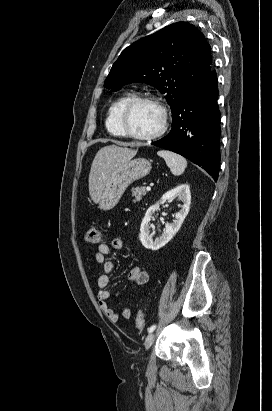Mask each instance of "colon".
<instances>
[{
    "instance_id": "colon-1",
    "label": "colon",
    "mask_w": 272,
    "mask_h": 411,
    "mask_svg": "<svg viewBox=\"0 0 272 411\" xmlns=\"http://www.w3.org/2000/svg\"><path fill=\"white\" fill-rule=\"evenodd\" d=\"M101 231L98 226H92L86 233L85 239L88 243L94 244L99 242ZM136 328L143 331L145 328L144 312L140 309L136 316Z\"/></svg>"
}]
</instances>
